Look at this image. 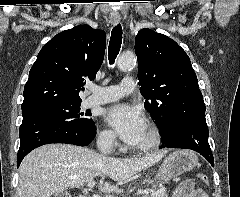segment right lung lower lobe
Masks as SVG:
<instances>
[{
    "label": "right lung lower lobe",
    "mask_w": 240,
    "mask_h": 197,
    "mask_svg": "<svg viewBox=\"0 0 240 197\" xmlns=\"http://www.w3.org/2000/svg\"><path fill=\"white\" fill-rule=\"evenodd\" d=\"M95 125L89 131H81L73 125L47 114L26 113L19 129L20 148L17 167L33 149L50 143H67L87 146L95 137Z\"/></svg>",
    "instance_id": "1"
}]
</instances>
